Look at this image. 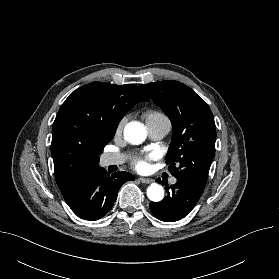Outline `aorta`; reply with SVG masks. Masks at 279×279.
<instances>
[{
  "instance_id": "obj_1",
  "label": "aorta",
  "mask_w": 279,
  "mask_h": 279,
  "mask_svg": "<svg viewBox=\"0 0 279 279\" xmlns=\"http://www.w3.org/2000/svg\"><path fill=\"white\" fill-rule=\"evenodd\" d=\"M146 129L139 122L128 123L124 128V136L131 144H141L146 138ZM147 196L153 202L161 201L164 189L161 185L153 183L147 188Z\"/></svg>"
}]
</instances>
